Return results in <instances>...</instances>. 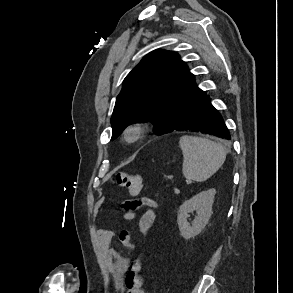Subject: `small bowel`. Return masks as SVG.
<instances>
[{
  "label": "small bowel",
  "instance_id": "c3829d8e",
  "mask_svg": "<svg viewBox=\"0 0 293 293\" xmlns=\"http://www.w3.org/2000/svg\"><path fill=\"white\" fill-rule=\"evenodd\" d=\"M143 205H146L147 208L139 218L138 228L141 234L146 235L153 229L156 222L155 202L149 198L129 200L124 203L123 208L126 211L125 218L134 219ZM96 235L107 258L114 286L116 289L122 290L124 287V277L129 267V260L112 247L111 242L113 239L119 238L123 246L129 250L135 249L137 245L127 231L118 232L113 228H103L98 229Z\"/></svg>",
  "mask_w": 293,
  "mask_h": 293
}]
</instances>
